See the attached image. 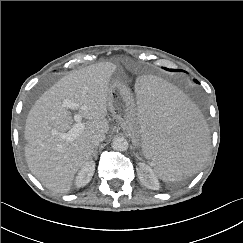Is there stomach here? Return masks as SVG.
Wrapping results in <instances>:
<instances>
[{
  "label": "stomach",
  "mask_w": 243,
  "mask_h": 243,
  "mask_svg": "<svg viewBox=\"0 0 243 243\" xmlns=\"http://www.w3.org/2000/svg\"><path fill=\"white\" fill-rule=\"evenodd\" d=\"M108 108L113 117L135 142L139 116L136 101L130 89L118 80H112L110 83Z\"/></svg>",
  "instance_id": "stomach-1"
}]
</instances>
